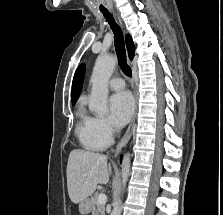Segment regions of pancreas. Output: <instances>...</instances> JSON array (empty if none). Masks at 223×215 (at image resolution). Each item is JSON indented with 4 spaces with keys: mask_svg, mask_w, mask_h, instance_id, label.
<instances>
[{
    "mask_svg": "<svg viewBox=\"0 0 223 215\" xmlns=\"http://www.w3.org/2000/svg\"><path fill=\"white\" fill-rule=\"evenodd\" d=\"M93 202L95 203L94 205H92L94 208V212H92V215H105V207L104 205H99L98 203V195H91Z\"/></svg>",
    "mask_w": 223,
    "mask_h": 215,
    "instance_id": "1",
    "label": "pancreas"
}]
</instances>
